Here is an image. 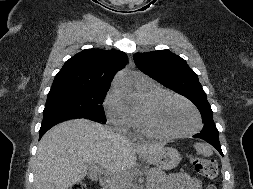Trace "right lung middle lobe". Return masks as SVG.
Masks as SVG:
<instances>
[{
    "mask_svg": "<svg viewBox=\"0 0 253 189\" xmlns=\"http://www.w3.org/2000/svg\"><path fill=\"white\" fill-rule=\"evenodd\" d=\"M110 87H58L48 93L43 118L76 116L106 123L102 103Z\"/></svg>",
    "mask_w": 253,
    "mask_h": 189,
    "instance_id": "1",
    "label": "right lung middle lobe"
}]
</instances>
